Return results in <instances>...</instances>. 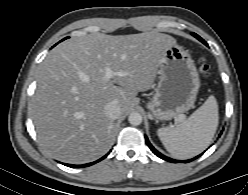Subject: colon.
<instances>
[{
  "instance_id": "5ec220e1",
  "label": "colon",
  "mask_w": 248,
  "mask_h": 195,
  "mask_svg": "<svg viewBox=\"0 0 248 195\" xmlns=\"http://www.w3.org/2000/svg\"><path fill=\"white\" fill-rule=\"evenodd\" d=\"M200 71L206 79L209 77V66L205 62H201Z\"/></svg>"
}]
</instances>
